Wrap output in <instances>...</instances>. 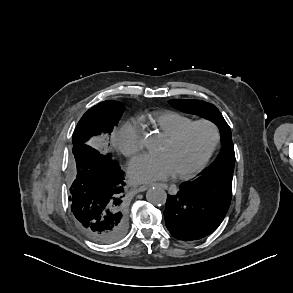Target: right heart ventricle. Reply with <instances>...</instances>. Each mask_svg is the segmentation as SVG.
I'll return each instance as SVG.
<instances>
[{"label": "right heart ventricle", "mask_w": 293, "mask_h": 293, "mask_svg": "<svg viewBox=\"0 0 293 293\" xmlns=\"http://www.w3.org/2000/svg\"><path fill=\"white\" fill-rule=\"evenodd\" d=\"M146 119H148L155 128L160 130L165 137L174 134L180 128L193 121L191 117L174 111L153 112L148 118H142L143 121Z\"/></svg>", "instance_id": "1"}]
</instances>
